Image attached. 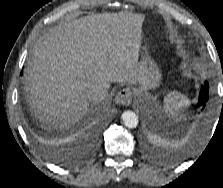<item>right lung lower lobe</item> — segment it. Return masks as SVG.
Returning <instances> with one entry per match:
<instances>
[{
	"instance_id": "98d812e1",
	"label": "right lung lower lobe",
	"mask_w": 223,
	"mask_h": 188,
	"mask_svg": "<svg viewBox=\"0 0 223 188\" xmlns=\"http://www.w3.org/2000/svg\"><path fill=\"white\" fill-rule=\"evenodd\" d=\"M96 144H97V140H96V138H93L92 139V147H95Z\"/></svg>"
}]
</instances>
